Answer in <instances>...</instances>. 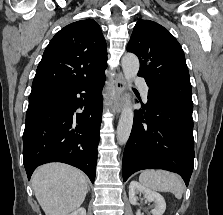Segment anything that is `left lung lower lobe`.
I'll return each instance as SVG.
<instances>
[{
  "instance_id": "obj_1",
  "label": "left lung lower lobe",
  "mask_w": 223,
  "mask_h": 215,
  "mask_svg": "<svg viewBox=\"0 0 223 215\" xmlns=\"http://www.w3.org/2000/svg\"><path fill=\"white\" fill-rule=\"evenodd\" d=\"M192 111L193 103L149 88L146 111L134 112L123 181L139 170L165 169L180 174L188 186L194 167Z\"/></svg>"
}]
</instances>
